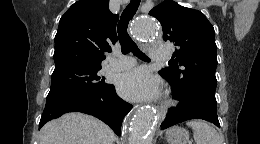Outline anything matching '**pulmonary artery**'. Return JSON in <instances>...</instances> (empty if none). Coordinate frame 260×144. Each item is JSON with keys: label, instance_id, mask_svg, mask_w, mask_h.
<instances>
[{"label": "pulmonary artery", "instance_id": "pulmonary-artery-1", "mask_svg": "<svg viewBox=\"0 0 260 144\" xmlns=\"http://www.w3.org/2000/svg\"><path fill=\"white\" fill-rule=\"evenodd\" d=\"M151 58L153 61H164L169 56V51L165 47L154 48L151 50ZM135 60L127 55H118L116 58L111 59L108 64V69L112 71H123L133 67Z\"/></svg>", "mask_w": 260, "mask_h": 144}]
</instances>
